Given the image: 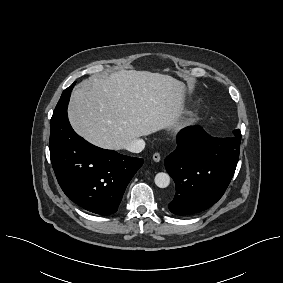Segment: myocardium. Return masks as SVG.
<instances>
[{
  "label": "myocardium",
  "mask_w": 283,
  "mask_h": 283,
  "mask_svg": "<svg viewBox=\"0 0 283 283\" xmlns=\"http://www.w3.org/2000/svg\"><path fill=\"white\" fill-rule=\"evenodd\" d=\"M194 123H195V114H192V115L190 116V118L187 119V120L183 123V125H182L181 128H182V129L190 128L191 126L194 125Z\"/></svg>",
  "instance_id": "myocardium-1"
}]
</instances>
